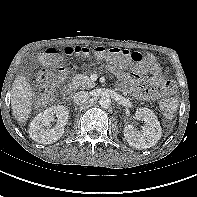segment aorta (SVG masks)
I'll use <instances>...</instances> for the list:
<instances>
[{"label": "aorta", "instance_id": "1", "mask_svg": "<svg viewBox=\"0 0 197 197\" xmlns=\"http://www.w3.org/2000/svg\"><path fill=\"white\" fill-rule=\"evenodd\" d=\"M99 104L101 108L107 109L111 105V99L108 97H101L99 100Z\"/></svg>", "mask_w": 197, "mask_h": 197}]
</instances>
